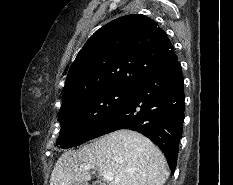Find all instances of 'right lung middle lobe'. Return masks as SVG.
Instances as JSON below:
<instances>
[{
  "label": "right lung middle lobe",
  "mask_w": 233,
  "mask_h": 185,
  "mask_svg": "<svg viewBox=\"0 0 233 185\" xmlns=\"http://www.w3.org/2000/svg\"><path fill=\"white\" fill-rule=\"evenodd\" d=\"M129 89H106L82 96L61 107L57 144L66 149L86 142L122 104Z\"/></svg>",
  "instance_id": "1"
}]
</instances>
